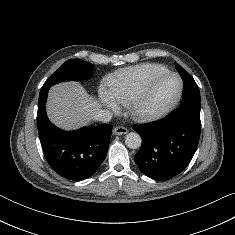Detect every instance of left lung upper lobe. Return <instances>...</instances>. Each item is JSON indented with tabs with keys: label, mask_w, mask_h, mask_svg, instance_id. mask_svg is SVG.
I'll return each instance as SVG.
<instances>
[{
	"label": "left lung upper lobe",
	"mask_w": 235,
	"mask_h": 235,
	"mask_svg": "<svg viewBox=\"0 0 235 235\" xmlns=\"http://www.w3.org/2000/svg\"><path fill=\"white\" fill-rule=\"evenodd\" d=\"M175 67L179 72L182 80H187L191 82V91L188 92L183 90L184 96L181 101V104L189 102L201 104L199 88L196 82L194 81L193 77L187 71H185L179 64H176Z\"/></svg>",
	"instance_id": "left-lung-upper-lobe-1"
}]
</instances>
